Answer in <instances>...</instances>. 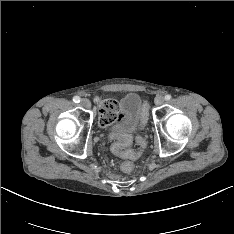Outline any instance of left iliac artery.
<instances>
[{
    "label": "left iliac artery",
    "instance_id": "1",
    "mask_svg": "<svg viewBox=\"0 0 234 234\" xmlns=\"http://www.w3.org/2000/svg\"><path fill=\"white\" fill-rule=\"evenodd\" d=\"M165 99H166V100H170V99H171V95H170V94H167V95L165 96Z\"/></svg>",
    "mask_w": 234,
    "mask_h": 234
}]
</instances>
